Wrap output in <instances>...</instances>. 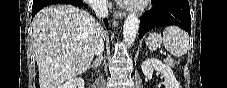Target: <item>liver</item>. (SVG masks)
Wrapping results in <instances>:
<instances>
[{"label": "liver", "mask_w": 227, "mask_h": 88, "mask_svg": "<svg viewBox=\"0 0 227 88\" xmlns=\"http://www.w3.org/2000/svg\"><path fill=\"white\" fill-rule=\"evenodd\" d=\"M32 26L40 88H58L84 73L102 37L101 25L73 5L41 9Z\"/></svg>", "instance_id": "liver-1"}]
</instances>
